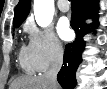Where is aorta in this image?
Wrapping results in <instances>:
<instances>
[{
    "label": "aorta",
    "mask_w": 107,
    "mask_h": 89,
    "mask_svg": "<svg viewBox=\"0 0 107 89\" xmlns=\"http://www.w3.org/2000/svg\"><path fill=\"white\" fill-rule=\"evenodd\" d=\"M34 16L40 27L50 25L54 16V0H34Z\"/></svg>",
    "instance_id": "aorta-1"
}]
</instances>
